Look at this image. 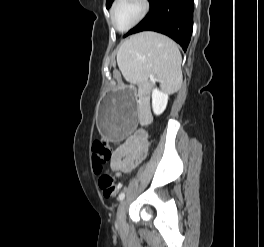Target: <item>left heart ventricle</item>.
<instances>
[{
	"mask_svg": "<svg viewBox=\"0 0 264 247\" xmlns=\"http://www.w3.org/2000/svg\"><path fill=\"white\" fill-rule=\"evenodd\" d=\"M141 4L139 0H121L114 11V23L119 28L129 26L139 15Z\"/></svg>",
	"mask_w": 264,
	"mask_h": 247,
	"instance_id": "1",
	"label": "left heart ventricle"
}]
</instances>
